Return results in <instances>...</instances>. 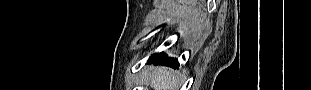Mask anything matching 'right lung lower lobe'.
Returning a JSON list of instances; mask_svg holds the SVG:
<instances>
[{"mask_svg":"<svg viewBox=\"0 0 311 90\" xmlns=\"http://www.w3.org/2000/svg\"><path fill=\"white\" fill-rule=\"evenodd\" d=\"M150 62H161L164 65H168L174 68H178L179 64L176 59L168 58L163 53L154 55L150 58Z\"/></svg>","mask_w":311,"mask_h":90,"instance_id":"obj_1","label":"right lung lower lobe"}]
</instances>
